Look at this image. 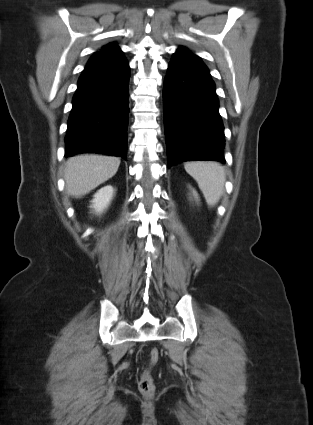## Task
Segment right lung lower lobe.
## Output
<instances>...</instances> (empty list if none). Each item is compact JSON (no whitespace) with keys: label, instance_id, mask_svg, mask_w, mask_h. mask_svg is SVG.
Returning a JSON list of instances; mask_svg holds the SVG:
<instances>
[{"label":"right lung lower lobe","instance_id":"1","mask_svg":"<svg viewBox=\"0 0 313 425\" xmlns=\"http://www.w3.org/2000/svg\"><path fill=\"white\" fill-rule=\"evenodd\" d=\"M129 78L125 57L90 58L73 96L65 157L92 152L126 158Z\"/></svg>","mask_w":313,"mask_h":425}]
</instances>
